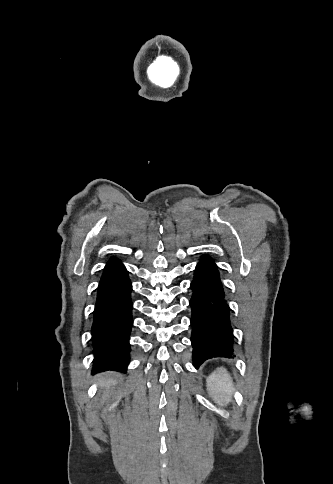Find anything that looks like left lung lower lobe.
<instances>
[{
  "mask_svg": "<svg viewBox=\"0 0 333 484\" xmlns=\"http://www.w3.org/2000/svg\"><path fill=\"white\" fill-rule=\"evenodd\" d=\"M193 365L199 367L213 357L233 356L230 309L214 261L203 256L191 283Z\"/></svg>",
  "mask_w": 333,
  "mask_h": 484,
  "instance_id": "obj_1",
  "label": "left lung lower lobe"
}]
</instances>
